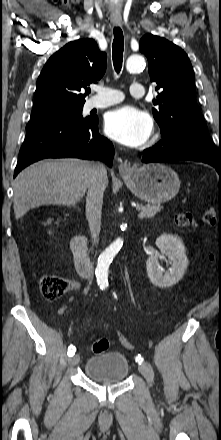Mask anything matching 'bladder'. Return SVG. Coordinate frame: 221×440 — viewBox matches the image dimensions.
<instances>
[{"mask_svg":"<svg viewBox=\"0 0 221 440\" xmlns=\"http://www.w3.org/2000/svg\"><path fill=\"white\" fill-rule=\"evenodd\" d=\"M128 359L120 352L97 354L89 358L85 364V375L104 384H114L124 381L129 373Z\"/></svg>","mask_w":221,"mask_h":440,"instance_id":"31cf9c89","label":"bladder"}]
</instances>
